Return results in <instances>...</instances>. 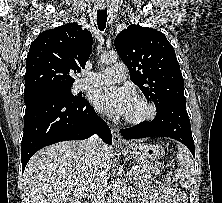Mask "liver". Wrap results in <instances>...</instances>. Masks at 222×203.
Returning <instances> with one entry per match:
<instances>
[{
    "instance_id": "6515ba94",
    "label": "liver",
    "mask_w": 222,
    "mask_h": 203,
    "mask_svg": "<svg viewBox=\"0 0 222 203\" xmlns=\"http://www.w3.org/2000/svg\"><path fill=\"white\" fill-rule=\"evenodd\" d=\"M101 165L110 169L113 150L101 142ZM97 164L85 153V141H63L38 151L23 174L30 203H75L86 197Z\"/></svg>"
}]
</instances>
